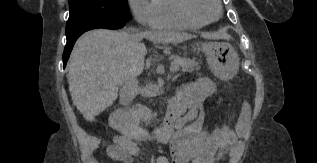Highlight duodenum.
<instances>
[{"mask_svg":"<svg viewBox=\"0 0 317 163\" xmlns=\"http://www.w3.org/2000/svg\"><path fill=\"white\" fill-rule=\"evenodd\" d=\"M177 115L168 112L163 124L152 132H147L141 126L133 123L124 110H117L110 116L111 127L123 137L119 144L112 145V150L116 153L124 145L133 140H146L154 143H165L173 135Z\"/></svg>","mask_w":317,"mask_h":163,"instance_id":"410a0bca","label":"duodenum"}]
</instances>
